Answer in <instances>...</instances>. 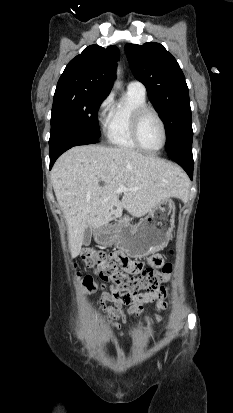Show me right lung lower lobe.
Listing matches in <instances>:
<instances>
[{
    "instance_id": "1",
    "label": "right lung lower lobe",
    "mask_w": 233,
    "mask_h": 413,
    "mask_svg": "<svg viewBox=\"0 0 233 413\" xmlns=\"http://www.w3.org/2000/svg\"><path fill=\"white\" fill-rule=\"evenodd\" d=\"M96 143V139L86 137L61 136L53 142H49L50 146V169L56 159L66 150L78 146Z\"/></svg>"
}]
</instances>
